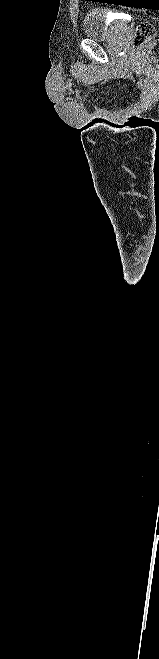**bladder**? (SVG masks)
Instances as JSON below:
<instances>
[{
    "instance_id": "31cf9c89",
    "label": "bladder",
    "mask_w": 159,
    "mask_h": 659,
    "mask_svg": "<svg viewBox=\"0 0 159 659\" xmlns=\"http://www.w3.org/2000/svg\"><path fill=\"white\" fill-rule=\"evenodd\" d=\"M104 13L105 11L101 9H91L85 15L83 33L87 39H110L116 35V27L112 23H108Z\"/></svg>"
}]
</instances>
